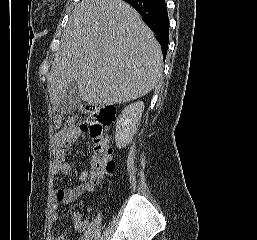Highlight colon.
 <instances>
[{
	"label": "colon",
	"instance_id": "obj_1",
	"mask_svg": "<svg viewBox=\"0 0 257 240\" xmlns=\"http://www.w3.org/2000/svg\"><path fill=\"white\" fill-rule=\"evenodd\" d=\"M115 109L109 105L95 106L88 109L86 123L83 124L93 139L94 155L88 189H93L115 170L112 149L109 146L107 127L112 123Z\"/></svg>",
	"mask_w": 257,
	"mask_h": 240
}]
</instances>
